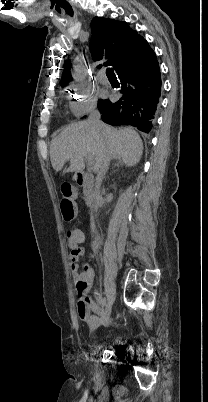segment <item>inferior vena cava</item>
I'll return each instance as SVG.
<instances>
[{
	"instance_id": "602c4592",
	"label": "inferior vena cava",
	"mask_w": 208,
	"mask_h": 402,
	"mask_svg": "<svg viewBox=\"0 0 208 402\" xmlns=\"http://www.w3.org/2000/svg\"><path fill=\"white\" fill-rule=\"evenodd\" d=\"M87 122L88 124H90V126H93V128H103V124L100 120V112H98L96 108H93ZM110 160H112V150L110 144L106 142V144H104L103 150H101L99 156H97L98 174L96 176L95 188L93 192V202H92L94 212H97V208L101 202L100 186L109 168Z\"/></svg>"
}]
</instances>
